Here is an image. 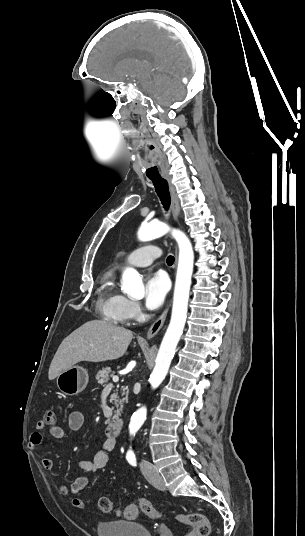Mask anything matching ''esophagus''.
Returning <instances> with one entry per match:
<instances>
[{
    "mask_svg": "<svg viewBox=\"0 0 305 536\" xmlns=\"http://www.w3.org/2000/svg\"><path fill=\"white\" fill-rule=\"evenodd\" d=\"M163 178H165V180H167L168 185H169V192H170V195H171L172 212H173V216H174L175 220L177 221L178 217L180 215L179 201H178L177 195L175 193V189H174V186L172 184L171 177L169 175H164ZM175 254H176L175 262H177V247H175ZM168 309H169V307H167L164 310V312L155 320V322L149 328V330L147 332V338L148 339L153 338V336H155L158 333V331L162 328V326H163V324H164V322L166 320Z\"/></svg>",
    "mask_w": 305,
    "mask_h": 536,
    "instance_id": "1",
    "label": "esophagus"
}]
</instances>
